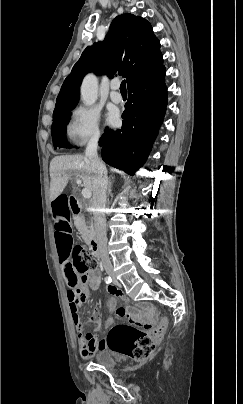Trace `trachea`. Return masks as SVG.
I'll return each mask as SVG.
<instances>
[{"instance_id": "1", "label": "trachea", "mask_w": 243, "mask_h": 404, "mask_svg": "<svg viewBox=\"0 0 243 404\" xmlns=\"http://www.w3.org/2000/svg\"><path fill=\"white\" fill-rule=\"evenodd\" d=\"M120 91H126V82H125V80H122V82H121Z\"/></svg>"}]
</instances>
